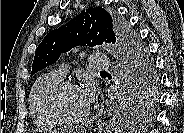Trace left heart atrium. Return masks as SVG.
Here are the masks:
<instances>
[{"mask_svg":"<svg viewBox=\"0 0 184 133\" xmlns=\"http://www.w3.org/2000/svg\"><path fill=\"white\" fill-rule=\"evenodd\" d=\"M81 93L87 104L90 105L94 99V88L90 85H86L83 89H81Z\"/></svg>","mask_w":184,"mask_h":133,"instance_id":"left-heart-atrium-1","label":"left heart atrium"}]
</instances>
